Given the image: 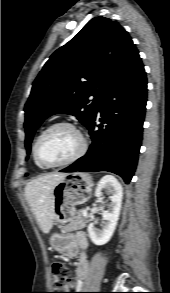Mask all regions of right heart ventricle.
I'll return each mask as SVG.
<instances>
[{"mask_svg": "<svg viewBox=\"0 0 170 293\" xmlns=\"http://www.w3.org/2000/svg\"><path fill=\"white\" fill-rule=\"evenodd\" d=\"M34 145H35V143H34ZM33 149H34V146H33ZM35 162H36V161H35ZM36 164H37V166H39L40 168H44V167L40 166L37 162H36Z\"/></svg>", "mask_w": 170, "mask_h": 293, "instance_id": "1", "label": "right heart ventricle"}]
</instances>
